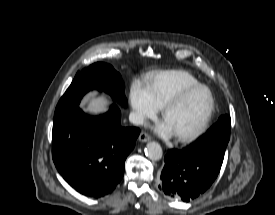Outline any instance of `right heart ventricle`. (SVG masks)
Returning a JSON list of instances; mask_svg holds the SVG:
<instances>
[{
	"label": "right heart ventricle",
	"instance_id": "right-heart-ventricle-1",
	"mask_svg": "<svg viewBox=\"0 0 275 215\" xmlns=\"http://www.w3.org/2000/svg\"><path fill=\"white\" fill-rule=\"evenodd\" d=\"M199 81L184 70H165L150 73L146 78V88L158 108L183 88L198 84Z\"/></svg>",
	"mask_w": 275,
	"mask_h": 215
}]
</instances>
